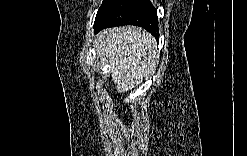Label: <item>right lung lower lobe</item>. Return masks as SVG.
<instances>
[{
  "label": "right lung lower lobe",
  "instance_id": "obj_1",
  "mask_svg": "<svg viewBox=\"0 0 247 156\" xmlns=\"http://www.w3.org/2000/svg\"><path fill=\"white\" fill-rule=\"evenodd\" d=\"M122 25L141 26L159 38L156 9L149 0H113L95 19L94 31Z\"/></svg>",
  "mask_w": 247,
  "mask_h": 156
}]
</instances>
